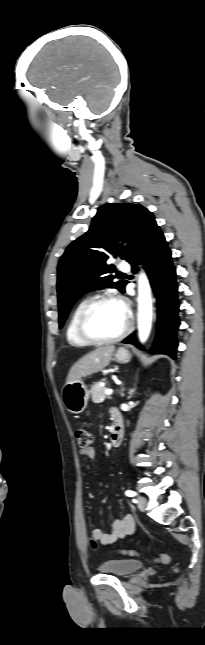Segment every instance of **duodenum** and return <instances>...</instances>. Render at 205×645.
<instances>
[{"mask_svg": "<svg viewBox=\"0 0 205 645\" xmlns=\"http://www.w3.org/2000/svg\"><path fill=\"white\" fill-rule=\"evenodd\" d=\"M114 421L110 431V444L117 447L121 444L124 435L123 421L118 413L114 414Z\"/></svg>", "mask_w": 205, "mask_h": 645, "instance_id": "1", "label": "duodenum"}]
</instances>
